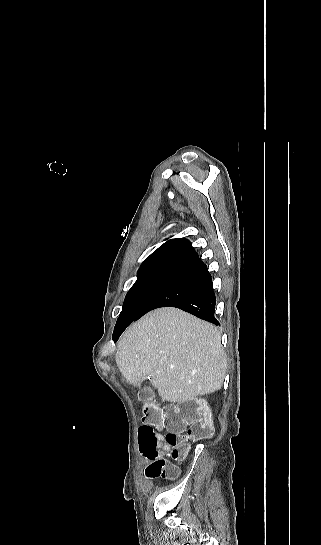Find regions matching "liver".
<instances>
[{
  "instance_id": "liver-1",
  "label": "liver",
  "mask_w": 321,
  "mask_h": 545,
  "mask_svg": "<svg viewBox=\"0 0 321 545\" xmlns=\"http://www.w3.org/2000/svg\"><path fill=\"white\" fill-rule=\"evenodd\" d=\"M115 361L131 385L147 377L162 401L188 403L221 389L226 353L216 327L173 307L156 309L130 325Z\"/></svg>"
}]
</instances>
